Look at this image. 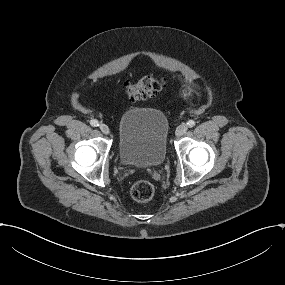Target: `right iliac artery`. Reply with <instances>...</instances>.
Instances as JSON below:
<instances>
[{"mask_svg":"<svg viewBox=\"0 0 285 285\" xmlns=\"http://www.w3.org/2000/svg\"><path fill=\"white\" fill-rule=\"evenodd\" d=\"M90 124H91L93 127L99 126V122H98L96 119L91 120V121H90Z\"/></svg>","mask_w":285,"mask_h":285,"instance_id":"obj_1","label":"right iliac artery"}]
</instances>
